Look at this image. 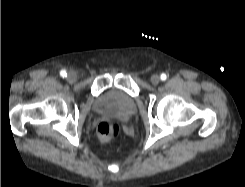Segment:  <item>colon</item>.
Segmentation results:
<instances>
[{
    "mask_svg": "<svg viewBox=\"0 0 245 187\" xmlns=\"http://www.w3.org/2000/svg\"><path fill=\"white\" fill-rule=\"evenodd\" d=\"M121 132V125L115 119L103 120L97 127V134L101 142L110 143L114 141Z\"/></svg>",
    "mask_w": 245,
    "mask_h": 187,
    "instance_id": "1",
    "label": "colon"
}]
</instances>
